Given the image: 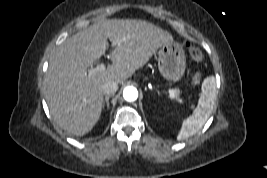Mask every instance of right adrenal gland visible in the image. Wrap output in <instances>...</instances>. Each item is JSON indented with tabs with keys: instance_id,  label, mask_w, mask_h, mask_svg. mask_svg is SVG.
Listing matches in <instances>:
<instances>
[{
	"instance_id": "right-adrenal-gland-1",
	"label": "right adrenal gland",
	"mask_w": 267,
	"mask_h": 178,
	"mask_svg": "<svg viewBox=\"0 0 267 178\" xmlns=\"http://www.w3.org/2000/svg\"><path fill=\"white\" fill-rule=\"evenodd\" d=\"M111 95H107L105 96L104 100H103V104H102V109L104 110L105 108V104L107 106V109L109 110V99H110Z\"/></svg>"
}]
</instances>
